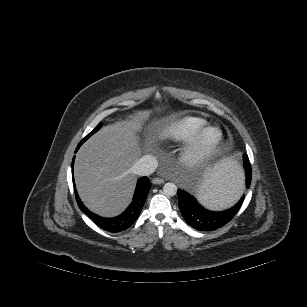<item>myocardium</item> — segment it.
Returning <instances> with one entry per match:
<instances>
[{
  "label": "myocardium",
  "instance_id": "myocardium-1",
  "mask_svg": "<svg viewBox=\"0 0 307 307\" xmlns=\"http://www.w3.org/2000/svg\"><path fill=\"white\" fill-rule=\"evenodd\" d=\"M222 139L221 131L213 126L199 130L181 152L180 161L190 169L198 168L215 153Z\"/></svg>",
  "mask_w": 307,
  "mask_h": 307
}]
</instances>
